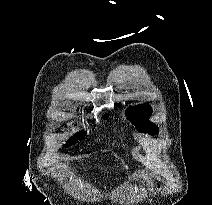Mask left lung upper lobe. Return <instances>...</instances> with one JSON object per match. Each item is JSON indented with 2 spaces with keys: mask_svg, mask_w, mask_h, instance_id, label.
I'll list each match as a JSON object with an SVG mask.
<instances>
[{
  "mask_svg": "<svg viewBox=\"0 0 212 205\" xmlns=\"http://www.w3.org/2000/svg\"><path fill=\"white\" fill-rule=\"evenodd\" d=\"M152 113V108L148 104H142L130 107L126 110L127 118L135 125L140 132L149 134H157L158 127L154 123L148 121Z\"/></svg>",
  "mask_w": 212,
  "mask_h": 205,
  "instance_id": "obj_1",
  "label": "left lung upper lobe"
}]
</instances>
